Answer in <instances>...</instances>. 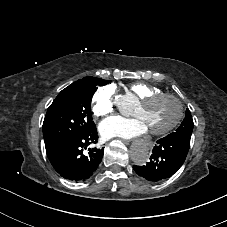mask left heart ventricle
Segmentation results:
<instances>
[{
  "instance_id": "left-heart-ventricle-1",
  "label": "left heart ventricle",
  "mask_w": 227,
  "mask_h": 227,
  "mask_svg": "<svg viewBox=\"0 0 227 227\" xmlns=\"http://www.w3.org/2000/svg\"><path fill=\"white\" fill-rule=\"evenodd\" d=\"M177 113L176 102L169 97H163L149 105L139 104L134 116L139 118L148 130H163L174 121Z\"/></svg>"
}]
</instances>
